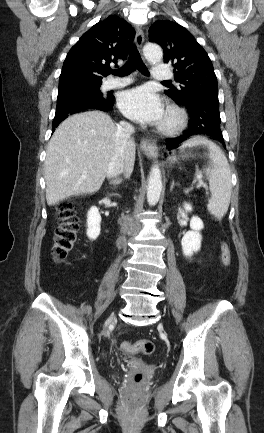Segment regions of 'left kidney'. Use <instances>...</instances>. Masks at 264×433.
Returning <instances> with one entry per match:
<instances>
[{
    "mask_svg": "<svg viewBox=\"0 0 264 433\" xmlns=\"http://www.w3.org/2000/svg\"><path fill=\"white\" fill-rule=\"evenodd\" d=\"M184 208L186 211L192 210L188 203L184 204ZM190 228L191 231L186 232L181 241L182 251L186 257H191L193 253L200 250L202 240L200 230L204 228V224L199 217L193 216L190 220Z\"/></svg>",
    "mask_w": 264,
    "mask_h": 433,
    "instance_id": "obj_1",
    "label": "left kidney"
}]
</instances>
